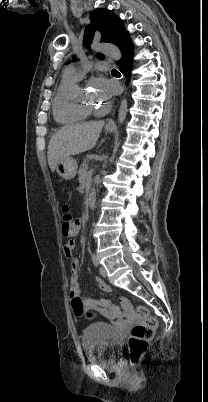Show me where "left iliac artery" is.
Wrapping results in <instances>:
<instances>
[{
  "instance_id": "left-iliac-artery-1",
  "label": "left iliac artery",
  "mask_w": 208,
  "mask_h": 402,
  "mask_svg": "<svg viewBox=\"0 0 208 402\" xmlns=\"http://www.w3.org/2000/svg\"><path fill=\"white\" fill-rule=\"evenodd\" d=\"M92 262L95 267H97L99 265L98 259L95 255L92 256Z\"/></svg>"
}]
</instances>
